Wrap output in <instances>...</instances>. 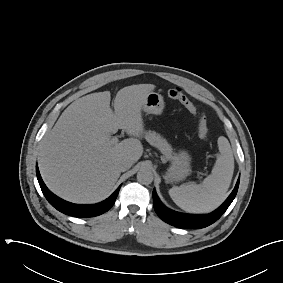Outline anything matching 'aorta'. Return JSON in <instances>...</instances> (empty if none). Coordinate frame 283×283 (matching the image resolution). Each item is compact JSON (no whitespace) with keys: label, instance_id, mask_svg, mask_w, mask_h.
Masks as SVG:
<instances>
[{"label":"aorta","instance_id":"762f6f07","mask_svg":"<svg viewBox=\"0 0 283 283\" xmlns=\"http://www.w3.org/2000/svg\"><path fill=\"white\" fill-rule=\"evenodd\" d=\"M153 179V173L147 167L141 168L137 173V180L142 184H151Z\"/></svg>","mask_w":283,"mask_h":283}]
</instances>
